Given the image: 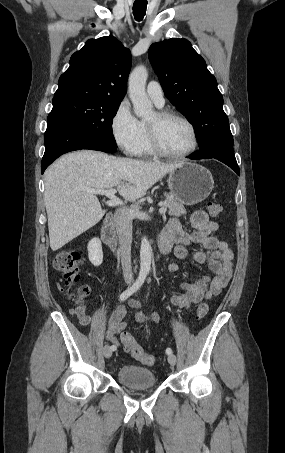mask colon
Segmentation results:
<instances>
[{
	"label": "colon",
	"mask_w": 285,
	"mask_h": 453,
	"mask_svg": "<svg viewBox=\"0 0 285 453\" xmlns=\"http://www.w3.org/2000/svg\"><path fill=\"white\" fill-rule=\"evenodd\" d=\"M207 209L212 217H218L222 212L221 205L214 202H209L207 204ZM53 266L57 271L63 274L64 282L67 287L73 286L80 278L81 257L79 253L75 251L60 250L54 257ZM86 294V288L81 287L72 296L77 303H81ZM208 311V305L206 303H201L195 311V318L197 320L204 319L207 316ZM121 341L124 350L144 365L151 366L156 363V357L153 354L145 352L130 333L123 332L121 334Z\"/></svg>",
	"instance_id": "obj_1"
}]
</instances>
